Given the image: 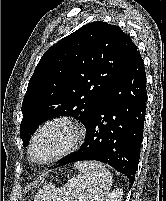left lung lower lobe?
Listing matches in <instances>:
<instances>
[{
	"label": "left lung lower lobe",
	"mask_w": 166,
	"mask_h": 201,
	"mask_svg": "<svg viewBox=\"0 0 166 201\" xmlns=\"http://www.w3.org/2000/svg\"><path fill=\"white\" fill-rule=\"evenodd\" d=\"M146 101L144 63L137 50L85 126L81 149L62 158L56 167L82 160L101 161L126 175L131 186L140 157Z\"/></svg>",
	"instance_id": "0a47b994"
}]
</instances>
